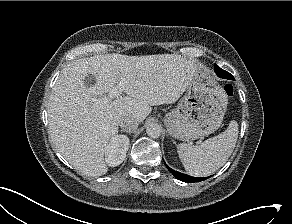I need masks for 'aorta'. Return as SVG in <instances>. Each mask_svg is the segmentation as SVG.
Listing matches in <instances>:
<instances>
[{"instance_id": "aorta-1", "label": "aorta", "mask_w": 292, "mask_h": 224, "mask_svg": "<svg viewBox=\"0 0 292 224\" xmlns=\"http://www.w3.org/2000/svg\"><path fill=\"white\" fill-rule=\"evenodd\" d=\"M146 133L151 138H158L161 135V127L157 123H149L146 127Z\"/></svg>"}]
</instances>
